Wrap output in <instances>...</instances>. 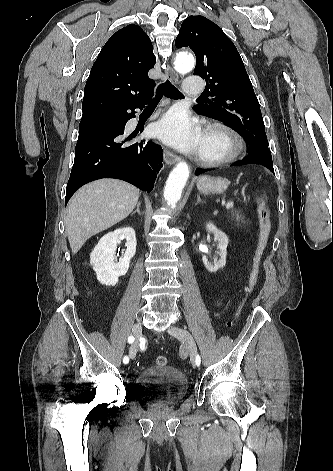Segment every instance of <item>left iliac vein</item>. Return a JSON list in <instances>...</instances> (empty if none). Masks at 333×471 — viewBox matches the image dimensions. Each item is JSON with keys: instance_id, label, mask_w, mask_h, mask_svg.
I'll list each match as a JSON object with an SVG mask.
<instances>
[{"instance_id": "4c4485c4", "label": "left iliac vein", "mask_w": 333, "mask_h": 471, "mask_svg": "<svg viewBox=\"0 0 333 471\" xmlns=\"http://www.w3.org/2000/svg\"><path fill=\"white\" fill-rule=\"evenodd\" d=\"M168 333L183 343L184 347L189 351L192 365L196 366L197 346L191 333L184 328L176 326L169 327Z\"/></svg>"}]
</instances>
